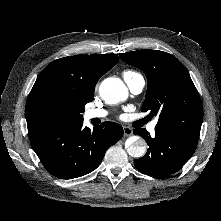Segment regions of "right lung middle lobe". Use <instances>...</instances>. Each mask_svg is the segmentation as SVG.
I'll list each match as a JSON object with an SVG mask.
<instances>
[{
    "label": "right lung middle lobe",
    "mask_w": 221,
    "mask_h": 221,
    "mask_svg": "<svg viewBox=\"0 0 221 221\" xmlns=\"http://www.w3.org/2000/svg\"><path fill=\"white\" fill-rule=\"evenodd\" d=\"M84 109H74L62 102L56 101L48 108V117L51 126L67 125L83 121L81 113Z\"/></svg>",
    "instance_id": "dd1d6c3e"
}]
</instances>
